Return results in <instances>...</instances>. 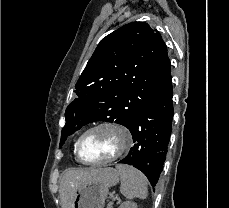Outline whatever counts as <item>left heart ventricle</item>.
I'll use <instances>...</instances> for the list:
<instances>
[{
    "label": "left heart ventricle",
    "instance_id": "left-heart-ventricle-1",
    "mask_svg": "<svg viewBox=\"0 0 229 208\" xmlns=\"http://www.w3.org/2000/svg\"><path fill=\"white\" fill-rule=\"evenodd\" d=\"M96 130H116L103 127ZM113 135H92L87 133L81 143L84 157L87 160H107L108 157L116 154L122 147H116Z\"/></svg>",
    "mask_w": 229,
    "mask_h": 208
}]
</instances>
